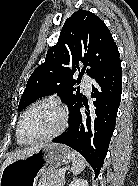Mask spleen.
Masks as SVG:
<instances>
[{
    "instance_id": "1",
    "label": "spleen",
    "mask_w": 138,
    "mask_h": 186,
    "mask_svg": "<svg viewBox=\"0 0 138 186\" xmlns=\"http://www.w3.org/2000/svg\"><path fill=\"white\" fill-rule=\"evenodd\" d=\"M71 156H72V168L71 171L73 172L74 175L79 174L80 172H82L85 168V160L82 157V155H80L78 152L76 151H72L71 152Z\"/></svg>"
}]
</instances>
